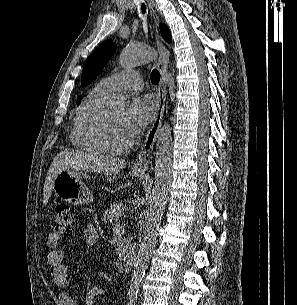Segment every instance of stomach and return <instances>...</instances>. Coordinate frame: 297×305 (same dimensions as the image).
<instances>
[{
  "label": "stomach",
  "mask_w": 297,
  "mask_h": 305,
  "mask_svg": "<svg viewBox=\"0 0 297 305\" xmlns=\"http://www.w3.org/2000/svg\"><path fill=\"white\" fill-rule=\"evenodd\" d=\"M142 173L134 169L130 172L132 176H140ZM83 179H91L87 171L64 169L54 178L52 190L57 197L70 204H88L93 201V196Z\"/></svg>",
  "instance_id": "1"
}]
</instances>
